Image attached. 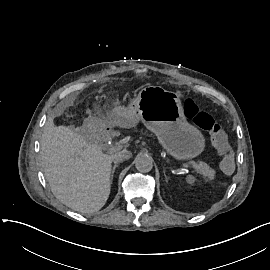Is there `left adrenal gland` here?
I'll return each instance as SVG.
<instances>
[{"label":"left adrenal gland","instance_id":"a2214340","mask_svg":"<svg viewBox=\"0 0 270 270\" xmlns=\"http://www.w3.org/2000/svg\"><path fill=\"white\" fill-rule=\"evenodd\" d=\"M163 174H164L166 181L169 183V179L167 178L165 171H163Z\"/></svg>","mask_w":270,"mask_h":270}]
</instances>
